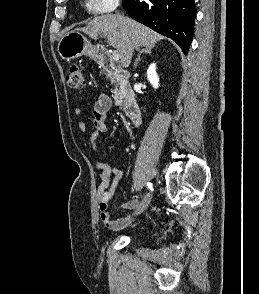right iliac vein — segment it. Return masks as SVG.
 <instances>
[{
	"mask_svg": "<svg viewBox=\"0 0 259 294\" xmlns=\"http://www.w3.org/2000/svg\"><path fill=\"white\" fill-rule=\"evenodd\" d=\"M151 198H152V194H151V193H148V194L144 197V199L141 201L139 207H138L137 210H136V214H137V215H138V214H141L142 212H144V211L147 209V207H148V205H149V203H150V201H151Z\"/></svg>",
	"mask_w": 259,
	"mask_h": 294,
	"instance_id": "right-iliac-vein-1",
	"label": "right iliac vein"
}]
</instances>
